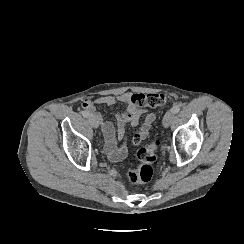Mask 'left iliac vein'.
I'll use <instances>...</instances> for the list:
<instances>
[{"instance_id": "4c4485c4", "label": "left iliac vein", "mask_w": 244, "mask_h": 244, "mask_svg": "<svg viewBox=\"0 0 244 244\" xmlns=\"http://www.w3.org/2000/svg\"><path fill=\"white\" fill-rule=\"evenodd\" d=\"M175 114L172 111H168L163 118V126L168 127L174 120Z\"/></svg>"}]
</instances>
